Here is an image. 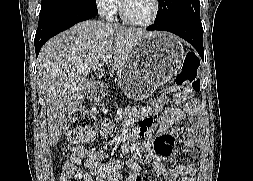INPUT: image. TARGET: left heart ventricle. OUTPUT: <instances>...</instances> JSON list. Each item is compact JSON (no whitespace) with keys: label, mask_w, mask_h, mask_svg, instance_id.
<instances>
[{"label":"left heart ventricle","mask_w":253,"mask_h":181,"mask_svg":"<svg viewBox=\"0 0 253 181\" xmlns=\"http://www.w3.org/2000/svg\"><path fill=\"white\" fill-rule=\"evenodd\" d=\"M128 15L138 21L150 18L153 12V0H123Z\"/></svg>","instance_id":"1"}]
</instances>
